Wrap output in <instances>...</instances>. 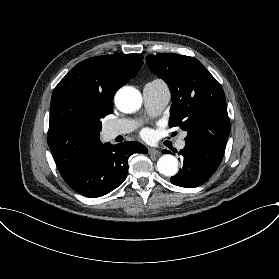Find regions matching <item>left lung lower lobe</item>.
I'll list each match as a JSON object with an SVG mask.
<instances>
[{
    "label": "left lung lower lobe",
    "instance_id": "left-lung-lower-lobe-1",
    "mask_svg": "<svg viewBox=\"0 0 279 279\" xmlns=\"http://www.w3.org/2000/svg\"><path fill=\"white\" fill-rule=\"evenodd\" d=\"M179 154L183 156V167L171 177V182L193 188L205 183L217 170L224 155V147L202 141L186 142Z\"/></svg>",
    "mask_w": 279,
    "mask_h": 279
}]
</instances>
